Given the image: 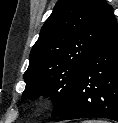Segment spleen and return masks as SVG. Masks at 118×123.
<instances>
[{"label":"spleen","instance_id":"3e777b00","mask_svg":"<svg viewBox=\"0 0 118 123\" xmlns=\"http://www.w3.org/2000/svg\"><path fill=\"white\" fill-rule=\"evenodd\" d=\"M84 123H108V122H106V121L89 120V121H84Z\"/></svg>","mask_w":118,"mask_h":123}]
</instances>
